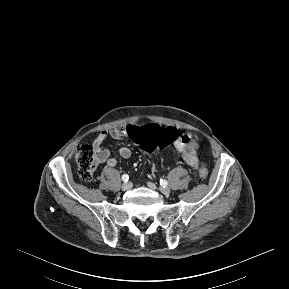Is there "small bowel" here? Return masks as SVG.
Wrapping results in <instances>:
<instances>
[{"mask_svg": "<svg viewBox=\"0 0 289 289\" xmlns=\"http://www.w3.org/2000/svg\"><path fill=\"white\" fill-rule=\"evenodd\" d=\"M127 136H129L128 128H115L110 131L100 132L94 141V146L100 153L101 162H105L109 167H114L117 164V161L114 158L109 157L108 150L101 147V144L107 139V137L121 140ZM198 142L199 140L194 134L187 133L181 135V138L174 144L176 151L192 168H196L198 165V158L196 154ZM118 153L123 159H129L132 155L131 149L126 146L120 147L118 149Z\"/></svg>", "mask_w": 289, "mask_h": 289, "instance_id": "obj_1", "label": "small bowel"}]
</instances>
